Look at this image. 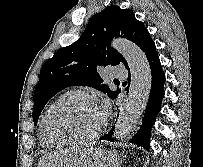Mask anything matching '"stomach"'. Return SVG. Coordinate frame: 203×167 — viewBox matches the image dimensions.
Masks as SVG:
<instances>
[{
  "instance_id": "0dacf381",
  "label": "stomach",
  "mask_w": 203,
  "mask_h": 167,
  "mask_svg": "<svg viewBox=\"0 0 203 167\" xmlns=\"http://www.w3.org/2000/svg\"><path fill=\"white\" fill-rule=\"evenodd\" d=\"M117 157L100 148L93 149L81 167H118Z\"/></svg>"
}]
</instances>
